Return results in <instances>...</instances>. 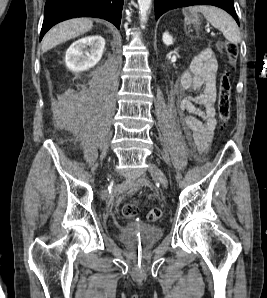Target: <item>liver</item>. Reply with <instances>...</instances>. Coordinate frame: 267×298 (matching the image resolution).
I'll list each match as a JSON object with an SVG mask.
<instances>
[{
    "mask_svg": "<svg viewBox=\"0 0 267 298\" xmlns=\"http://www.w3.org/2000/svg\"><path fill=\"white\" fill-rule=\"evenodd\" d=\"M93 27V21L86 18H76L64 21L50 29L43 38L42 51L46 52L53 47L78 37Z\"/></svg>",
    "mask_w": 267,
    "mask_h": 298,
    "instance_id": "6515ba94",
    "label": "liver"
}]
</instances>
